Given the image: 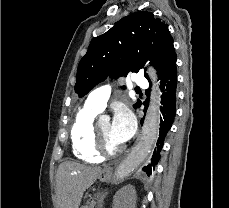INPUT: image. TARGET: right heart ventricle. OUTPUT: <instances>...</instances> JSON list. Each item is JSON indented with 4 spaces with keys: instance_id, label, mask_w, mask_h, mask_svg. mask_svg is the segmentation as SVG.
Listing matches in <instances>:
<instances>
[{
    "instance_id": "right-heart-ventricle-1",
    "label": "right heart ventricle",
    "mask_w": 229,
    "mask_h": 208,
    "mask_svg": "<svg viewBox=\"0 0 229 208\" xmlns=\"http://www.w3.org/2000/svg\"><path fill=\"white\" fill-rule=\"evenodd\" d=\"M99 112L84 107L78 111L70 129V146L74 158L83 163L98 162L101 158L95 153L94 143H98L94 135L93 121Z\"/></svg>"
}]
</instances>
